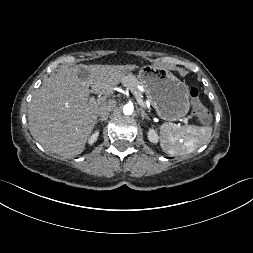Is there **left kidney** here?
Segmentation results:
<instances>
[{
  "label": "left kidney",
  "instance_id": "obj_1",
  "mask_svg": "<svg viewBox=\"0 0 253 253\" xmlns=\"http://www.w3.org/2000/svg\"><path fill=\"white\" fill-rule=\"evenodd\" d=\"M148 139L150 142H152L154 144L158 142L159 137H158L156 130L150 129L148 131Z\"/></svg>",
  "mask_w": 253,
  "mask_h": 253
}]
</instances>
